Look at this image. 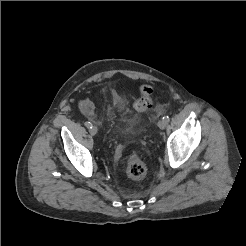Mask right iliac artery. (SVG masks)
<instances>
[{
    "label": "right iliac artery",
    "mask_w": 246,
    "mask_h": 246,
    "mask_svg": "<svg viewBox=\"0 0 246 246\" xmlns=\"http://www.w3.org/2000/svg\"><path fill=\"white\" fill-rule=\"evenodd\" d=\"M85 126H86L87 128H92V123L89 122V121H87V122H85Z\"/></svg>",
    "instance_id": "obj_1"
}]
</instances>
